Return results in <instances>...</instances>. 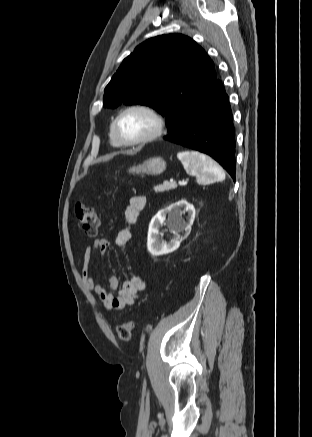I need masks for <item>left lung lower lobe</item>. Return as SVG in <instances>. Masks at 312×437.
I'll return each mask as SVG.
<instances>
[{
	"instance_id": "left-lung-lower-lobe-1",
	"label": "left lung lower lobe",
	"mask_w": 312,
	"mask_h": 437,
	"mask_svg": "<svg viewBox=\"0 0 312 437\" xmlns=\"http://www.w3.org/2000/svg\"><path fill=\"white\" fill-rule=\"evenodd\" d=\"M165 140L206 153L235 180V138L229 98L221 82L201 96Z\"/></svg>"
}]
</instances>
